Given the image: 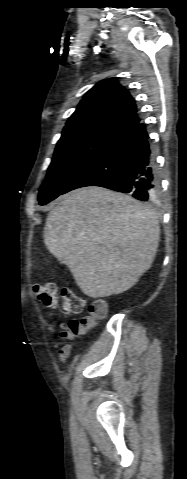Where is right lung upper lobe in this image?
I'll return each mask as SVG.
<instances>
[{
  "label": "right lung upper lobe",
  "mask_w": 187,
  "mask_h": 479,
  "mask_svg": "<svg viewBox=\"0 0 187 479\" xmlns=\"http://www.w3.org/2000/svg\"><path fill=\"white\" fill-rule=\"evenodd\" d=\"M140 121L135 102L115 79L99 82L86 93L63 132L104 125L127 132Z\"/></svg>",
  "instance_id": "cb5924a9"
}]
</instances>
